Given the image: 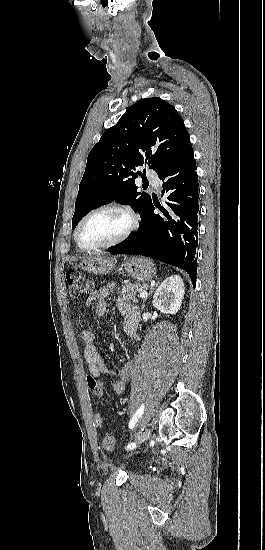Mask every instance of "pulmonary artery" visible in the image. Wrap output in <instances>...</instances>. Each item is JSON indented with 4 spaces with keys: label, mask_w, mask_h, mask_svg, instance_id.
Returning <instances> with one entry per match:
<instances>
[{
    "label": "pulmonary artery",
    "mask_w": 265,
    "mask_h": 550,
    "mask_svg": "<svg viewBox=\"0 0 265 550\" xmlns=\"http://www.w3.org/2000/svg\"><path fill=\"white\" fill-rule=\"evenodd\" d=\"M147 177L149 178V180L152 182V184L157 187L159 185V179H158V175L155 171L153 170H149L147 172Z\"/></svg>",
    "instance_id": "pulmonary-artery-1"
}]
</instances>
